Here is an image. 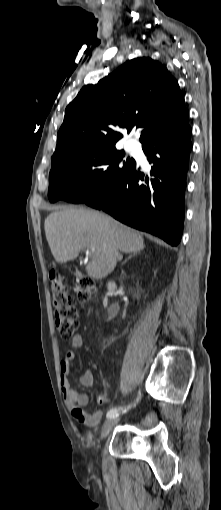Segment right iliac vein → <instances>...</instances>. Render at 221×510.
<instances>
[{
	"label": "right iliac vein",
	"instance_id": "63e3f726",
	"mask_svg": "<svg viewBox=\"0 0 221 510\" xmlns=\"http://www.w3.org/2000/svg\"><path fill=\"white\" fill-rule=\"evenodd\" d=\"M118 421H119V417L109 418L105 421V423L102 427L101 439H104L109 434V432L118 423Z\"/></svg>",
	"mask_w": 221,
	"mask_h": 510
}]
</instances>
